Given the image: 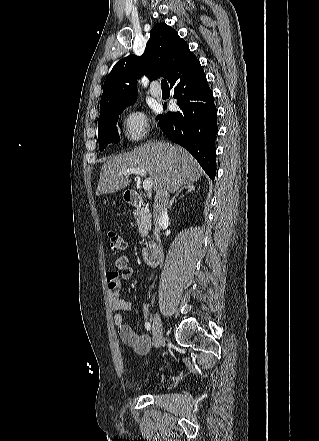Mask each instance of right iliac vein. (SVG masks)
I'll list each match as a JSON object with an SVG mask.
<instances>
[{
	"mask_svg": "<svg viewBox=\"0 0 319 441\" xmlns=\"http://www.w3.org/2000/svg\"><path fill=\"white\" fill-rule=\"evenodd\" d=\"M153 340L155 347H160L164 343V332L161 318L158 313L153 317Z\"/></svg>",
	"mask_w": 319,
	"mask_h": 441,
	"instance_id": "1",
	"label": "right iliac vein"
}]
</instances>
